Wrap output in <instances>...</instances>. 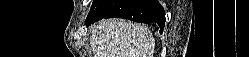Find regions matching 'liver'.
Wrapping results in <instances>:
<instances>
[{
  "label": "liver",
  "mask_w": 249,
  "mask_h": 57,
  "mask_svg": "<svg viewBox=\"0 0 249 57\" xmlns=\"http://www.w3.org/2000/svg\"><path fill=\"white\" fill-rule=\"evenodd\" d=\"M90 43L94 57H153L154 53L147 27L116 18L94 24Z\"/></svg>",
  "instance_id": "6515ba94"
}]
</instances>
